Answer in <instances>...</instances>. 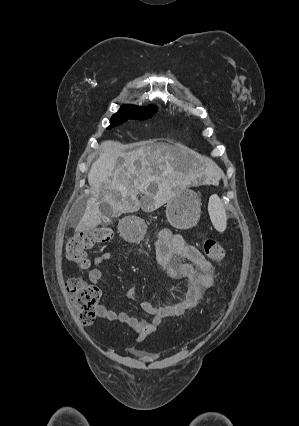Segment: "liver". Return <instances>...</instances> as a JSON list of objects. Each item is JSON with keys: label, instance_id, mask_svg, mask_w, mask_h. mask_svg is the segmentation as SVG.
Masks as SVG:
<instances>
[{"label": "liver", "instance_id": "1", "mask_svg": "<svg viewBox=\"0 0 299 426\" xmlns=\"http://www.w3.org/2000/svg\"><path fill=\"white\" fill-rule=\"evenodd\" d=\"M191 154L181 144L148 143L124 152L119 142H103L102 152L88 173L92 196L77 230H91L101 223L103 203L109 204L117 216L140 208L147 212L160 208L183 183L184 170L192 163ZM118 157L123 158L121 165L117 164ZM207 173L219 177L221 170L210 162ZM138 194L143 195L140 200Z\"/></svg>", "mask_w": 299, "mask_h": 426}]
</instances>
